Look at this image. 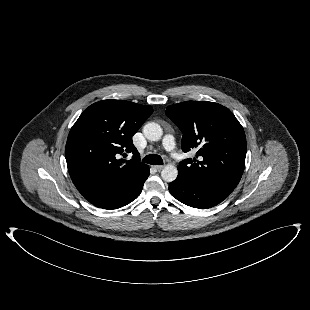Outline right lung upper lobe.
<instances>
[{
    "mask_svg": "<svg viewBox=\"0 0 310 310\" xmlns=\"http://www.w3.org/2000/svg\"><path fill=\"white\" fill-rule=\"evenodd\" d=\"M149 105L103 100L83 111L71 128L65 156L71 179L89 201L124 196L149 172L140 162L132 136L152 114ZM132 153V159H119Z\"/></svg>",
    "mask_w": 310,
    "mask_h": 310,
    "instance_id": "right-lung-upper-lobe-1",
    "label": "right lung upper lobe"
}]
</instances>
